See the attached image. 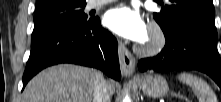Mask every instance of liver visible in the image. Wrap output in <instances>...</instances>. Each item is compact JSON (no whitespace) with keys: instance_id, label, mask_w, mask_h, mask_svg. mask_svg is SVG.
I'll list each match as a JSON object with an SVG mask.
<instances>
[{"instance_id":"1","label":"liver","mask_w":221,"mask_h":102,"mask_svg":"<svg viewBox=\"0 0 221 102\" xmlns=\"http://www.w3.org/2000/svg\"><path fill=\"white\" fill-rule=\"evenodd\" d=\"M94 70L59 64L37 74L25 87L23 102H92ZM110 95L114 85L108 82Z\"/></svg>"}]
</instances>
